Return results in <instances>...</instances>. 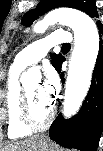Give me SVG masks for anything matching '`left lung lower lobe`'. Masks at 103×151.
<instances>
[{"label":"left lung lower lobe","instance_id":"0a47b994","mask_svg":"<svg viewBox=\"0 0 103 151\" xmlns=\"http://www.w3.org/2000/svg\"><path fill=\"white\" fill-rule=\"evenodd\" d=\"M99 34L103 27L98 23ZM101 39V38H100ZM64 61V60H63ZM61 71V66L58 72ZM64 82V75L61 73ZM103 130V40L93 72L92 82L84 103L77 115L65 121L59 115L52 123L49 135L52 140L66 148L96 151Z\"/></svg>","mask_w":103,"mask_h":151}]
</instances>
